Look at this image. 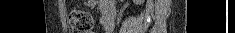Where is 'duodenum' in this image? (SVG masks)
Listing matches in <instances>:
<instances>
[{
	"instance_id": "1",
	"label": "duodenum",
	"mask_w": 235,
	"mask_h": 33,
	"mask_svg": "<svg viewBox=\"0 0 235 33\" xmlns=\"http://www.w3.org/2000/svg\"><path fill=\"white\" fill-rule=\"evenodd\" d=\"M114 26L113 14H110L104 22V30L106 33H110Z\"/></svg>"
}]
</instances>
